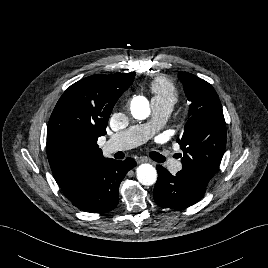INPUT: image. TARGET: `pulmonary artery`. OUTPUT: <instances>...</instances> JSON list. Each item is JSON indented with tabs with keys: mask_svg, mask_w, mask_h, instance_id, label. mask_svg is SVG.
Listing matches in <instances>:
<instances>
[{
	"mask_svg": "<svg viewBox=\"0 0 268 268\" xmlns=\"http://www.w3.org/2000/svg\"><path fill=\"white\" fill-rule=\"evenodd\" d=\"M151 107L154 114L151 122L131 126L125 131L113 134L107 141L105 149L109 152L128 150L149 139L167 121L172 111L169 105L154 99L151 100ZM169 164H175V160H170Z\"/></svg>",
	"mask_w": 268,
	"mask_h": 268,
	"instance_id": "pulmonary-artery-1",
	"label": "pulmonary artery"
}]
</instances>
